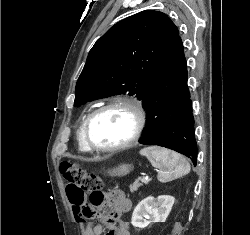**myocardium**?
<instances>
[{
	"label": "myocardium",
	"mask_w": 250,
	"mask_h": 235,
	"mask_svg": "<svg viewBox=\"0 0 250 235\" xmlns=\"http://www.w3.org/2000/svg\"><path fill=\"white\" fill-rule=\"evenodd\" d=\"M115 107L124 108L133 115L135 125L131 136L126 141L110 147H100L94 145L90 139V126L93 120L102 112ZM145 121V112L139 101L132 98H115L90 112L83 127L84 143L89 150L98 153H113L124 150L133 146L139 140L145 127Z\"/></svg>",
	"instance_id": "obj_1"
}]
</instances>
